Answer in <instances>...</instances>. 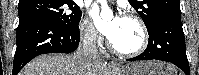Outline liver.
I'll return each instance as SVG.
<instances>
[{"instance_id":"6515ba94","label":"liver","mask_w":199,"mask_h":75,"mask_svg":"<svg viewBox=\"0 0 199 75\" xmlns=\"http://www.w3.org/2000/svg\"><path fill=\"white\" fill-rule=\"evenodd\" d=\"M90 66V70L88 67ZM171 67V66H170ZM169 71V69H166ZM175 74L174 71H172ZM107 63L90 60L82 53L44 54L29 62L19 75H110Z\"/></svg>"}]
</instances>
